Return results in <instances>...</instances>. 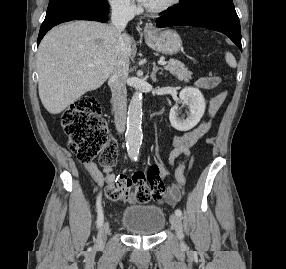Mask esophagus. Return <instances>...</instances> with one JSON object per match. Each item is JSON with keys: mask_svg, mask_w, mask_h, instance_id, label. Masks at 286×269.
<instances>
[{"mask_svg": "<svg viewBox=\"0 0 286 269\" xmlns=\"http://www.w3.org/2000/svg\"><path fill=\"white\" fill-rule=\"evenodd\" d=\"M153 29H154V26L151 23H147L144 27V33L146 35L150 34V33H152Z\"/></svg>", "mask_w": 286, "mask_h": 269, "instance_id": "obj_1", "label": "esophagus"}]
</instances>
